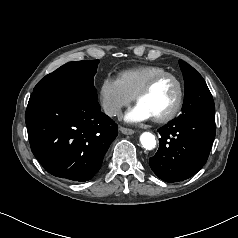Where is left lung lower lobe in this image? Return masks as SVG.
<instances>
[{"mask_svg":"<svg viewBox=\"0 0 238 238\" xmlns=\"http://www.w3.org/2000/svg\"><path fill=\"white\" fill-rule=\"evenodd\" d=\"M158 132L159 149L149 159L151 169L166 182L186 180L207 161L215 138V114L177 117Z\"/></svg>","mask_w":238,"mask_h":238,"instance_id":"obj_1","label":"left lung lower lobe"}]
</instances>
